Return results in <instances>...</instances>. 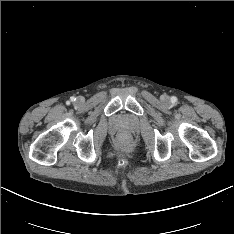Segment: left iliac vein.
<instances>
[{"instance_id": "obj_1", "label": "left iliac vein", "mask_w": 234, "mask_h": 234, "mask_svg": "<svg viewBox=\"0 0 234 234\" xmlns=\"http://www.w3.org/2000/svg\"><path fill=\"white\" fill-rule=\"evenodd\" d=\"M161 100H162L164 103H168L169 97H168L167 95H163V96L161 97Z\"/></svg>"}]
</instances>
